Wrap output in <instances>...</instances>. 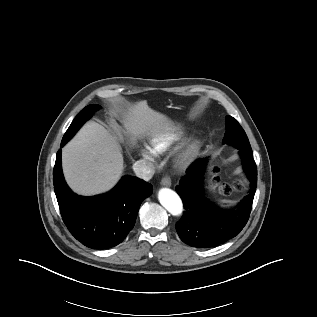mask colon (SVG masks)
<instances>
[{"instance_id":"obj_1","label":"colon","mask_w":317,"mask_h":317,"mask_svg":"<svg viewBox=\"0 0 317 317\" xmlns=\"http://www.w3.org/2000/svg\"><path fill=\"white\" fill-rule=\"evenodd\" d=\"M208 185L215 191L220 192L224 195L230 194L232 191L241 190L243 187L242 182H235L232 185L221 183L219 178L214 176L213 172L210 174V178L208 180Z\"/></svg>"}]
</instances>
